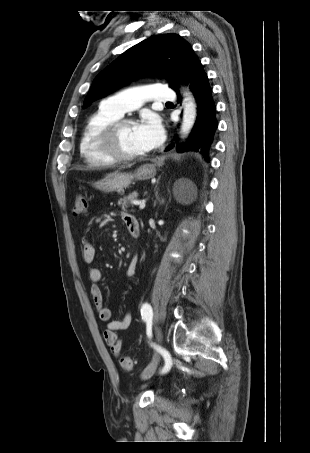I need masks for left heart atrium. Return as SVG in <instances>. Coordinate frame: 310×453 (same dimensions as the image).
I'll return each instance as SVG.
<instances>
[{
    "mask_svg": "<svg viewBox=\"0 0 310 453\" xmlns=\"http://www.w3.org/2000/svg\"><path fill=\"white\" fill-rule=\"evenodd\" d=\"M136 134L147 151L158 147L164 139L163 126L155 115H148L137 123Z\"/></svg>",
    "mask_w": 310,
    "mask_h": 453,
    "instance_id": "1",
    "label": "left heart atrium"
}]
</instances>
